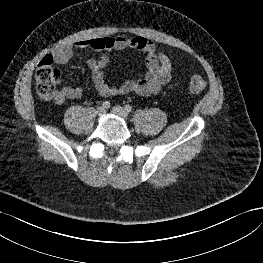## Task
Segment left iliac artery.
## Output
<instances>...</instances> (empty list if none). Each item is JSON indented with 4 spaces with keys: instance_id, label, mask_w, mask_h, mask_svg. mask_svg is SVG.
<instances>
[{
    "instance_id": "44dca946",
    "label": "left iliac artery",
    "mask_w": 263,
    "mask_h": 263,
    "mask_svg": "<svg viewBox=\"0 0 263 263\" xmlns=\"http://www.w3.org/2000/svg\"><path fill=\"white\" fill-rule=\"evenodd\" d=\"M125 110L129 113L132 111V107L130 105H126Z\"/></svg>"
}]
</instances>
